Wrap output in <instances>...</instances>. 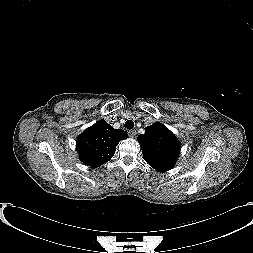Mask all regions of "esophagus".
Returning a JSON list of instances; mask_svg holds the SVG:
<instances>
[{"label":"esophagus","mask_w":253,"mask_h":253,"mask_svg":"<svg viewBox=\"0 0 253 253\" xmlns=\"http://www.w3.org/2000/svg\"><path fill=\"white\" fill-rule=\"evenodd\" d=\"M128 134L130 137H135L136 136V131L135 130H130L128 131Z\"/></svg>","instance_id":"1"}]
</instances>
